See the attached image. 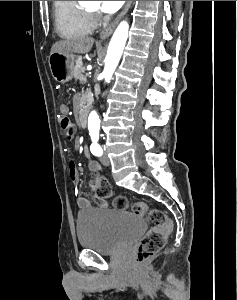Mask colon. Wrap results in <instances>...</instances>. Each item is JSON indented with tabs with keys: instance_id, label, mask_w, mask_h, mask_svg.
Segmentation results:
<instances>
[{
	"instance_id": "1",
	"label": "colon",
	"mask_w": 237,
	"mask_h": 300,
	"mask_svg": "<svg viewBox=\"0 0 237 300\" xmlns=\"http://www.w3.org/2000/svg\"><path fill=\"white\" fill-rule=\"evenodd\" d=\"M59 125L64 135L70 140L75 135V128L70 119L62 114L59 117ZM95 194L100 199H107L112 196V188L109 182L101 178L96 186ZM114 208L128 210L141 217H148L152 226L146 235L140 240L136 250V260L144 263L154 257L166 244L171 232V220L160 210L150 209L144 201H137L130 205L125 196H116L112 200Z\"/></svg>"
}]
</instances>
